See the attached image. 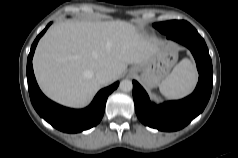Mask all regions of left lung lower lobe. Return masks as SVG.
<instances>
[{
    "instance_id": "1",
    "label": "left lung lower lobe",
    "mask_w": 238,
    "mask_h": 158,
    "mask_svg": "<svg viewBox=\"0 0 238 158\" xmlns=\"http://www.w3.org/2000/svg\"><path fill=\"white\" fill-rule=\"evenodd\" d=\"M166 35L192 52L199 72L196 89L182 100L156 105L151 103L139 83L133 81V99L136 114L144 125L161 131H176L188 125L206 107L212 91L213 69L206 43L192 25L176 28Z\"/></svg>"
}]
</instances>
